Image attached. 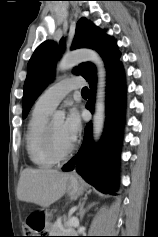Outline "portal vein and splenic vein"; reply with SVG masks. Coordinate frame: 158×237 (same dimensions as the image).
Instances as JSON below:
<instances>
[{
  "label": "portal vein and splenic vein",
  "instance_id": "obj_1",
  "mask_svg": "<svg viewBox=\"0 0 158 237\" xmlns=\"http://www.w3.org/2000/svg\"><path fill=\"white\" fill-rule=\"evenodd\" d=\"M67 226H79V220L75 217H72L69 219V221L67 222Z\"/></svg>",
  "mask_w": 158,
  "mask_h": 237
}]
</instances>
